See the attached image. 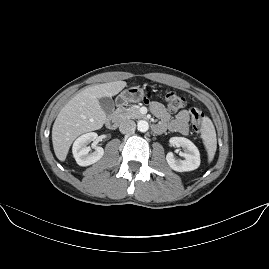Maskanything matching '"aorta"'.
Here are the masks:
<instances>
[{
    "label": "aorta",
    "instance_id": "obj_1",
    "mask_svg": "<svg viewBox=\"0 0 269 269\" xmlns=\"http://www.w3.org/2000/svg\"><path fill=\"white\" fill-rule=\"evenodd\" d=\"M137 128L141 132H146L149 128L148 122L146 120H139L137 122Z\"/></svg>",
    "mask_w": 269,
    "mask_h": 269
}]
</instances>
